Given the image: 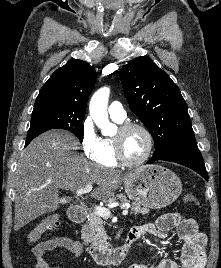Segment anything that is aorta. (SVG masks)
I'll list each match as a JSON object with an SVG mask.
<instances>
[{
    "label": "aorta",
    "mask_w": 221,
    "mask_h": 268,
    "mask_svg": "<svg viewBox=\"0 0 221 268\" xmlns=\"http://www.w3.org/2000/svg\"><path fill=\"white\" fill-rule=\"evenodd\" d=\"M109 94L110 89L108 87L100 88L93 94L89 105L90 115L94 123L104 134H110L115 130V125L108 118Z\"/></svg>",
    "instance_id": "aorta-1"
}]
</instances>
